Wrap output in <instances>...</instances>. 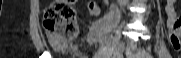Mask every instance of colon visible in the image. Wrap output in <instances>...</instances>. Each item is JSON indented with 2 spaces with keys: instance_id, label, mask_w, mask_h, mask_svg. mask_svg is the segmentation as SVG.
Returning <instances> with one entry per match:
<instances>
[{
  "instance_id": "5ec220e1",
  "label": "colon",
  "mask_w": 181,
  "mask_h": 58,
  "mask_svg": "<svg viewBox=\"0 0 181 58\" xmlns=\"http://www.w3.org/2000/svg\"><path fill=\"white\" fill-rule=\"evenodd\" d=\"M74 0H55L45 10L43 28L51 46L58 52L67 53L78 35Z\"/></svg>"
}]
</instances>
